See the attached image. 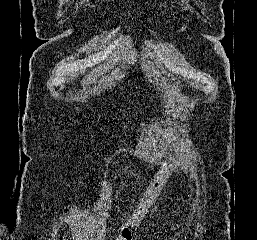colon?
<instances>
[{"label": "colon", "mask_w": 257, "mask_h": 240, "mask_svg": "<svg viewBox=\"0 0 257 240\" xmlns=\"http://www.w3.org/2000/svg\"><path fill=\"white\" fill-rule=\"evenodd\" d=\"M171 169L170 155L168 154L149 184L144 196L134 209L129 219L119 228L116 240H132L134 232L139 228L150 208L153 206L162 189Z\"/></svg>", "instance_id": "obj_1"}]
</instances>
